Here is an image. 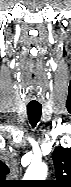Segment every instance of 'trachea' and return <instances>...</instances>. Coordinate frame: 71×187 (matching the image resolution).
Wrapping results in <instances>:
<instances>
[{
	"label": "trachea",
	"mask_w": 71,
	"mask_h": 187,
	"mask_svg": "<svg viewBox=\"0 0 71 187\" xmlns=\"http://www.w3.org/2000/svg\"><path fill=\"white\" fill-rule=\"evenodd\" d=\"M41 112H42L41 105H28L27 106L28 119L32 127H35L37 122L40 120Z\"/></svg>",
	"instance_id": "obj_1"
}]
</instances>
